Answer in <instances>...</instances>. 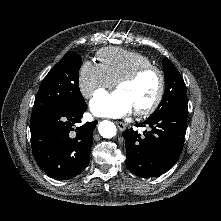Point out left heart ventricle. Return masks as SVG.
<instances>
[{
	"mask_svg": "<svg viewBox=\"0 0 221 221\" xmlns=\"http://www.w3.org/2000/svg\"><path fill=\"white\" fill-rule=\"evenodd\" d=\"M159 88V79L155 72H147L136 81L121 85V91L133 106L134 110L149 106L155 99Z\"/></svg>",
	"mask_w": 221,
	"mask_h": 221,
	"instance_id": "1",
	"label": "left heart ventricle"
}]
</instances>
